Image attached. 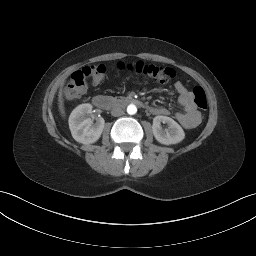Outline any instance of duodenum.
Listing matches in <instances>:
<instances>
[{"label": "duodenum", "instance_id": "duodenum-1", "mask_svg": "<svg viewBox=\"0 0 256 256\" xmlns=\"http://www.w3.org/2000/svg\"><path fill=\"white\" fill-rule=\"evenodd\" d=\"M115 103H118L121 105H128V104L142 105V102L139 99H136L133 97H127L117 101H114L104 95H96L93 97V104L96 107L101 109H109L112 106H114Z\"/></svg>", "mask_w": 256, "mask_h": 256}]
</instances>
